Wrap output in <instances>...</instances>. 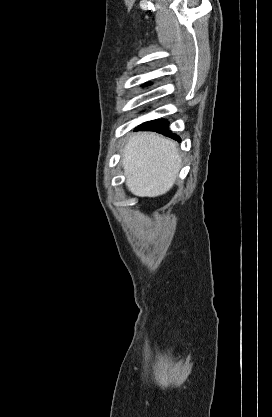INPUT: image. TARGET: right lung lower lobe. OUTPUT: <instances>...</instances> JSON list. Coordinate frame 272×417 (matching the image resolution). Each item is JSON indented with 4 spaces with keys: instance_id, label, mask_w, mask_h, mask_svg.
<instances>
[{
    "instance_id": "98d812e1",
    "label": "right lung lower lobe",
    "mask_w": 272,
    "mask_h": 417,
    "mask_svg": "<svg viewBox=\"0 0 272 417\" xmlns=\"http://www.w3.org/2000/svg\"><path fill=\"white\" fill-rule=\"evenodd\" d=\"M168 122L167 120L157 119L149 122H145L142 125H139L136 130H149V131H156L158 133H163L166 136H169L173 139L180 141V138L175 135L171 134L168 130Z\"/></svg>"
}]
</instances>
